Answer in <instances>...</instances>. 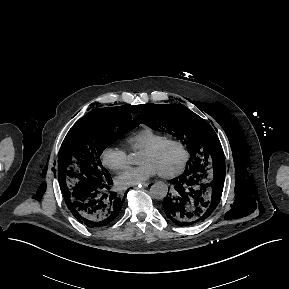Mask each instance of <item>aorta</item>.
<instances>
[{"instance_id": "obj_1", "label": "aorta", "mask_w": 289, "mask_h": 289, "mask_svg": "<svg viewBox=\"0 0 289 289\" xmlns=\"http://www.w3.org/2000/svg\"><path fill=\"white\" fill-rule=\"evenodd\" d=\"M132 163H135V154L130 155ZM168 193V186L164 182H156L150 188V195L154 199H164Z\"/></svg>"}]
</instances>
